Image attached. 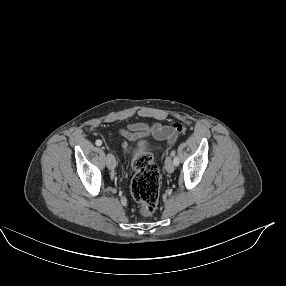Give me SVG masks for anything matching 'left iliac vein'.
<instances>
[{"mask_svg":"<svg viewBox=\"0 0 286 286\" xmlns=\"http://www.w3.org/2000/svg\"><path fill=\"white\" fill-rule=\"evenodd\" d=\"M165 169L168 173H172L174 171V164L170 157H167L165 160Z\"/></svg>","mask_w":286,"mask_h":286,"instance_id":"4c4485c4","label":"left iliac vein"}]
</instances>
